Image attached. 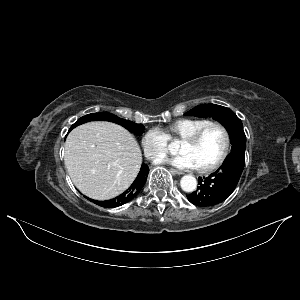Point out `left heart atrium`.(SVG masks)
I'll list each match as a JSON object with an SVG mask.
<instances>
[{"label":"left heart atrium","mask_w":300,"mask_h":300,"mask_svg":"<svg viewBox=\"0 0 300 300\" xmlns=\"http://www.w3.org/2000/svg\"><path fill=\"white\" fill-rule=\"evenodd\" d=\"M158 163H167L179 169H196L197 166L189 154H180L172 158H160Z\"/></svg>","instance_id":"left-heart-atrium-1"}]
</instances>
